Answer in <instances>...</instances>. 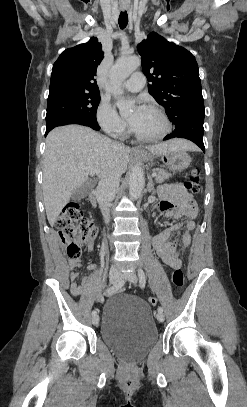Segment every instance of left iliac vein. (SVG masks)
<instances>
[{"label": "left iliac vein", "instance_id": "4c4485c4", "mask_svg": "<svg viewBox=\"0 0 247 407\" xmlns=\"http://www.w3.org/2000/svg\"><path fill=\"white\" fill-rule=\"evenodd\" d=\"M123 278L133 284L137 283V280H138L137 275L134 271L124 273ZM156 318L159 322H163L165 319V316H164L163 312H158L156 315Z\"/></svg>", "mask_w": 247, "mask_h": 407}]
</instances>
